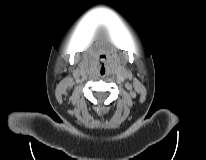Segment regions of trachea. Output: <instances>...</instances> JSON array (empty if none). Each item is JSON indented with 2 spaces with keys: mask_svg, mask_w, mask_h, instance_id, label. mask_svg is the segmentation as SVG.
<instances>
[{
  "mask_svg": "<svg viewBox=\"0 0 206 160\" xmlns=\"http://www.w3.org/2000/svg\"><path fill=\"white\" fill-rule=\"evenodd\" d=\"M104 73H105V69L102 68V69H101V74H104Z\"/></svg>",
  "mask_w": 206,
  "mask_h": 160,
  "instance_id": "1",
  "label": "trachea"
}]
</instances>
